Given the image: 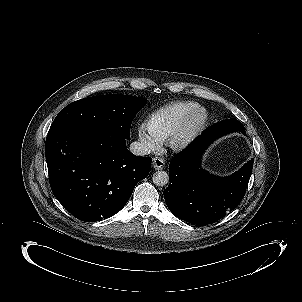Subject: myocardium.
<instances>
[{"mask_svg":"<svg viewBox=\"0 0 302 302\" xmlns=\"http://www.w3.org/2000/svg\"><path fill=\"white\" fill-rule=\"evenodd\" d=\"M208 122V112L203 107H197L187 114L176 129L168 136L166 144L174 152H180L204 130Z\"/></svg>","mask_w":302,"mask_h":302,"instance_id":"myocardium-1","label":"myocardium"}]
</instances>
